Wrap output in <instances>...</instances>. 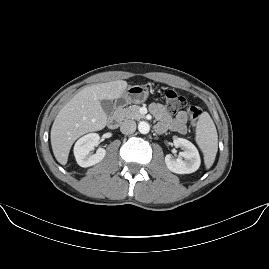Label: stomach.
Masks as SVG:
<instances>
[{"mask_svg": "<svg viewBox=\"0 0 269 269\" xmlns=\"http://www.w3.org/2000/svg\"><path fill=\"white\" fill-rule=\"evenodd\" d=\"M148 95L147 88L143 85L140 86H129L127 89L123 90L116 101L121 100L118 104L119 107L127 106L128 104H139L146 100Z\"/></svg>", "mask_w": 269, "mask_h": 269, "instance_id": "obj_1", "label": "stomach"}]
</instances>
